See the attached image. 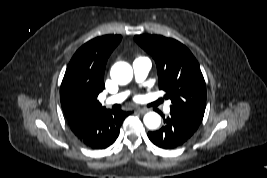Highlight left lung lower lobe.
Returning a JSON list of instances; mask_svg holds the SVG:
<instances>
[{"label":"left lung lower lobe","instance_id":"left-lung-lower-lobe-1","mask_svg":"<svg viewBox=\"0 0 267 178\" xmlns=\"http://www.w3.org/2000/svg\"><path fill=\"white\" fill-rule=\"evenodd\" d=\"M164 123L159 130L148 133L150 141L163 149H174L183 145L197 130L183 118L172 113L164 119Z\"/></svg>","mask_w":267,"mask_h":178}]
</instances>
